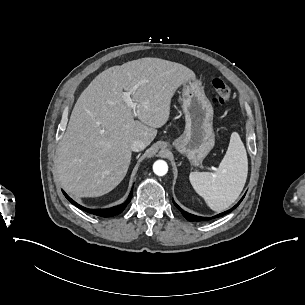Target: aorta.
<instances>
[{"mask_svg":"<svg viewBox=\"0 0 305 305\" xmlns=\"http://www.w3.org/2000/svg\"><path fill=\"white\" fill-rule=\"evenodd\" d=\"M153 172L158 176H164L168 172V165L164 160H157L153 164Z\"/></svg>","mask_w":305,"mask_h":305,"instance_id":"762f6f07","label":"aorta"}]
</instances>
